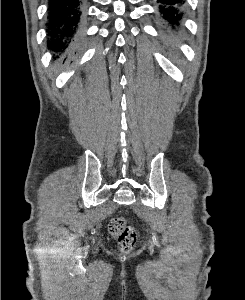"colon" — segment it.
Returning a JSON list of instances; mask_svg holds the SVG:
<instances>
[{
	"label": "colon",
	"instance_id": "colon-1",
	"mask_svg": "<svg viewBox=\"0 0 245 300\" xmlns=\"http://www.w3.org/2000/svg\"><path fill=\"white\" fill-rule=\"evenodd\" d=\"M108 230L116 240L120 250L128 252L133 249L137 241V233L132 226L128 225L125 217L112 218L109 222Z\"/></svg>",
	"mask_w": 245,
	"mask_h": 300
}]
</instances>
